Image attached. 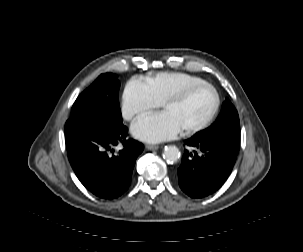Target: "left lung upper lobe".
Returning <instances> with one entry per match:
<instances>
[{"mask_svg":"<svg viewBox=\"0 0 303 252\" xmlns=\"http://www.w3.org/2000/svg\"><path fill=\"white\" fill-rule=\"evenodd\" d=\"M193 137H201L221 143L240 144L239 116L228 99H226L217 121L211 127L202 131V133H196Z\"/></svg>","mask_w":303,"mask_h":252,"instance_id":"5c2ea615","label":"left lung upper lobe"}]
</instances>
